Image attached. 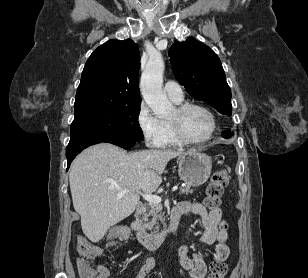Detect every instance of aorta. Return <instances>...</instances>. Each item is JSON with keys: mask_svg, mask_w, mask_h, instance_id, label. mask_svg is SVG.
<instances>
[{"mask_svg": "<svg viewBox=\"0 0 308 278\" xmlns=\"http://www.w3.org/2000/svg\"><path fill=\"white\" fill-rule=\"evenodd\" d=\"M164 61L160 54L151 56L141 76V92L145 102L157 117H164L172 104L162 91Z\"/></svg>", "mask_w": 308, "mask_h": 278, "instance_id": "762f6f07", "label": "aorta"}]
</instances>
